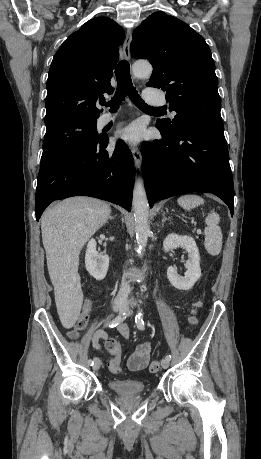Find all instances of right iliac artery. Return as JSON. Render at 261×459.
Masks as SVG:
<instances>
[{"mask_svg":"<svg viewBox=\"0 0 261 459\" xmlns=\"http://www.w3.org/2000/svg\"><path fill=\"white\" fill-rule=\"evenodd\" d=\"M126 316H127V314H126L125 312L120 313L118 316H116V317L109 323V327H111V328L116 327V326L119 325L122 321H124V320L126 319ZM96 359H97V357H95L94 360H92V359L88 360V364H90L91 366H93Z\"/></svg>","mask_w":261,"mask_h":459,"instance_id":"right-iliac-artery-1","label":"right iliac artery"}]
</instances>
